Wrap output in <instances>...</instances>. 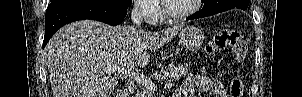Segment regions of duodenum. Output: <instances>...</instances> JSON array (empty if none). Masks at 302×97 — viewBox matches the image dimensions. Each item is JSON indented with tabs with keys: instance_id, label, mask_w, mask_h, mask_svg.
Here are the masks:
<instances>
[{
	"instance_id": "1",
	"label": "duodenum",
	"mask_w": 302,
	"mask_h": 97,
	"mask_svg": "<svg viewBox=\"0 0 302 97\" xmlns=\"http://www.w3.org/2000/svg\"><path fill=\"white\" fill-rule=\"evenodd\" d=\"M129 96H130L129 90L125 89L122 92H120L117 97H129ZM175 97H178V95H175Z\"/></svg>"
}]
</instances>
